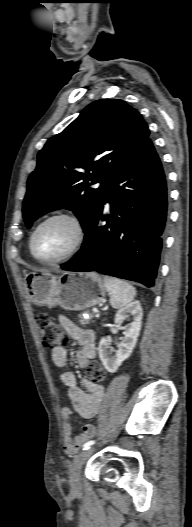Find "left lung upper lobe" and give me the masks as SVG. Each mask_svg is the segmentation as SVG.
Listing matches in <instances>:
<instances>
[{
  "instance_id": "1",
  "label": "left lung upper lobe",
  "mask_w": 192,
  "mask_h": 527,
  "mask_svg": "<svg viewBox=\"0 0 192 527\" xmlns=\"http://www.w3.org/2000/svg\"><path fill=\"white\" fill-rule=\"evenodd\" d=\"M140 113L120 99L88 105L38 153L27 182L23 217L28 227L47 212L67 208L88 229L111 182L149 139ZM100 183L98 188L92 184Z\"/></svg>"
}]
</instances>
